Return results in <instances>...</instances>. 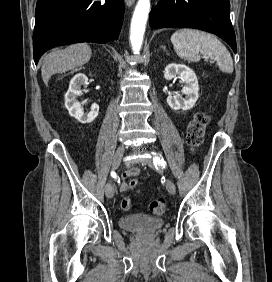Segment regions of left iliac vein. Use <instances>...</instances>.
<instances>
[{
	"instance_id": "obj_1",
	"label": "left iliac vein",
	"mask_w": 272,
	"mask_h": 282,
	"mask_svg": "<svg viewBox=\"0 0 272 282\" xmlns=\"http://www.w3.org/2000/svg\"><path fill=\"white\" fill-rule=\"evenodd\" d=\"M145 163L149 166V167H155V164L154 163H152L150 160H145ZM166 188H167V190H168V192L170 193V194H175L176 193V186H175V184L173 183V181H171L170 179H168L167 181H166Z\"/></svg>"
}]
</instances>
